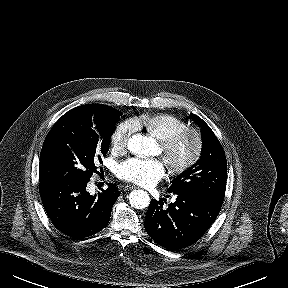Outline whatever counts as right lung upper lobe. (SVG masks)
<instances>
[{
    "mask_svg": "<svg viewBox=\"0 0 288 288\" xmlns=\"http://www.w3.org/2000/svg\"><path fill=\"white\" fill-rule=\"evenodd\" d=\"M83 106H94L95 107V104H87V105H83Z\"/></svg>",
    "mask_w": 288,
    "mask_h": 288,
    "instance_id": "1",
    "label": "right lung upper lobe"
}]
</instances>
